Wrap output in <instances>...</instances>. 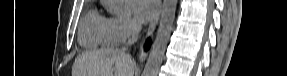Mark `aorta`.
I'll use <instances>...</instances> for the list:
<instances>
[{"instance_id":"1","label":"aorta","mask_w":287,"mask_h":76,"mask_svg":"<svg viewBox=\"0 0 287 76\" xmlns=\"http://www.w3.org/2000/svg\"><path fill=\"white\" fill-rule=\"evenodd\" d=\"M177 0H165L157 34L142 76H157L173 29Z\"/></svg>"}]
</instances>
